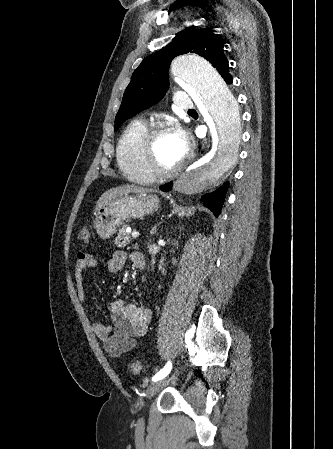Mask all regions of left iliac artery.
<instances>
[{"label": "left iliac artery", "mask_w": 333, "mask_h": 449, "mask_svg": "<svg viewBox=\"0 0 333 449\" xmlns=\"http://www.w3.org/2000/svg\"><path fill=\"white\" fill-rule=\"evenodd\" d=\"M171 369H172V363H171V361H168L166 363V365L152 377V381H157V380L163 379L170 373Z\"/></svg>", "instance_id": "44dca946"}]
</instances>
